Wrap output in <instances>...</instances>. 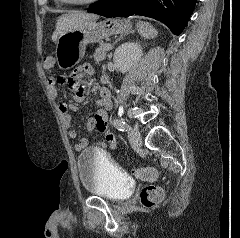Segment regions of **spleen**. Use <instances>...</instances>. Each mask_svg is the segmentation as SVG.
Instances as JSON below:
<instances>
[{"instance_id":"1","label":"spleen","mask_w":240,"mask_h":238,"mask_svg":"<svg viewBox=\"0 0 240 238\" xmlns=\"http://www.w3.org/2000/svg\"><path fill=\"white\" fill-rule=\"evenodd\" d=\"M137 31L144 39L155 38L158 34L157 30L149 23L139 21L137 24Z\"/></svg>"}]
</instances>
